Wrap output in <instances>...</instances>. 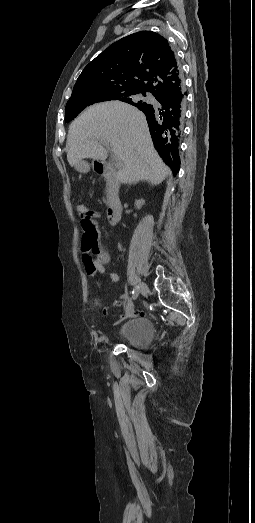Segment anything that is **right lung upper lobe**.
I'll return each mask as SVG.
<instances>
[{"mask_svg": "<svg viewBox=\"0 0 255 523\" xmlns=\"http://www.w3.org/2000/svg\"><path fill=\"white\" fill-rule=\"evenodd\" d=\"M127 92H150L152 103L131 101L146 115L154 146L174 174L180 166L179 142L186 108V91L181 67L167 40L151 31H141L113 43L82 71L67 102L90 103ZM178 98L174 107L176 127L169 142L160 139L159 125L169 120L154 117L156 107Z\"/></svg>", "mask_w": 255, "mask_h": 523, "instance_id": "1", "label": "right lung upper lobe"}]
</instances>
